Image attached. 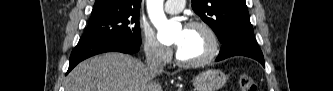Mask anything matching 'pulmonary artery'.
<instances>
[{"instance_id":"pulmonary-artery-1","label":"pulmonary artery","mask_w":333,"mask_h":91,"mask_svg":"<svg viewBox=\"0 0 333 91\" xmlns=\"http://www.w3.org/2000/svg\"><path fill=\"white\" fill-rule=\"evenodd\" d=\"M184 8V1L169 0L165 3V10L168 13L175 14L182 11Z\"/></svg>"}]
</instances>
